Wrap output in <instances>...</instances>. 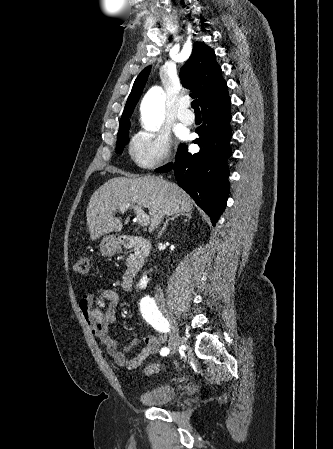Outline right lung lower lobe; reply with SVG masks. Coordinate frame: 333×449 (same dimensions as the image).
Wrapping results in <instances>:
<instances>
[{"label": "right lung lower lobe", "instance_id": "right-lung-lower-lobe-1", "mask_svg": "<svg viewBox=\"0 0 333 449\" xmlns=\"http://www.w3.org/2000/svg\"><path fill=\"white\" fill-rule=\"evenodd\" d=\"M230 105L227 87L200 105L203 124L196 129L200 137L193 141L200 151L191 154L181 144L175 162L156 169L160 173L173 170L179 186L210 216L213 225L224 211L229 193Z\"/></svg>", "mask_w": 333, "mask_h": 449}]
</instances>
